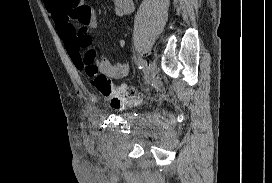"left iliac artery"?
<instances>
[{
    "label": "left iliac artery",
    "mask_w": 272,
    "mask_h": 183,
    "mask_svg": "<svg viewBox=\"0 0 272 183\" xmlns=\"http://www.w3.org/2000/svg\"><path fill=\"white\" fill-rule=\"evenodd\" d=\"M137 64L140 69H143L145 73L149 74V63L146 60H143L142 58L137 59Z\"/></svg>",
    "instance_id": "44dca946"
}]
</instances>
